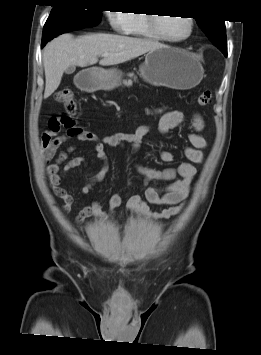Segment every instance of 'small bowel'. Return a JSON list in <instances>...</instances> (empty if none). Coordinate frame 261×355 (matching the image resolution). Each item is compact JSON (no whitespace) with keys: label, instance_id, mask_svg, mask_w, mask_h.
I'll return each instance as SVG.
<instances>
[{"label":"small bowel","instance_id":"c3829d8e","mask_svg":"<svg viewBox=\"0 0 261 355\" xmlns=\"http://www.w3.org/2000/svg\"><path fill=\"white\" fill-rule=\"evenodd\" d=\"M60 122V126L66 127L67 130L62 134H58L60 129L52 130L49 128V131L42 133L41 153L44 161L48 164V185L54 196L63 201L62 212L69 213L74 203V197L62 187V182L71 170L79 166H86L87 162L83 157L69 158V155L75 151V146H69L63 151H60V147L72 140L94 144L93 151L96 158L101 162V168L90 182L81 188V194L87 196L96 184L104 180L110 170V159L105 147L109 146L125 150L129 146L131 152L136 153L144 148V137L149 134L150 127L143 125L134 133H114L98 138L95 133L76 126L74 121L62 122L60 120ZM184 125V114L180 111L172 110L161 117L159 130L164 134H168ZM203 128V118L197 113L194 114L191 126L186 131L188 143L182 148V153L188 160L187 162H183L176 167L161 169L141 164L134 165L137 173L143 178L141 189L143 195L132 194L129 196L126 202V207L129 211L138 217L154 220L170 219L183 211L190 194L192 180L197 172L194 164L201 163L204 159L202 149L206 146V140L199 134ZM159 157L164 162H172L175 159L172 153L165 150L159 152ZM51 161L54 162L51 163ZM152 181H167L169 185L164 188L151 187L149 183ZM121 203L122 197L119 194H113L109 198L107 210H103L99 202L92 201L85 205L76 215L75 224L81 226L90 217H96L102 221L106 220L115 214ZM150 204L165 205L167 207L162 210H153Z\"/></svg>","mask_w":261,"mask_h":355}]
</instances>
